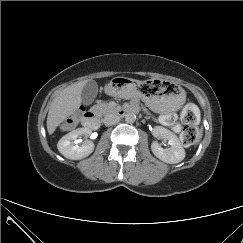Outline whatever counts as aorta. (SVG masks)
I'll list each match as a JSON object with an SVG mask.
<instances>
[{
    "instance_id": "aorta-1",
    "label": "aorta",
    "mask_w": 243,
    "mask_h": 243,
    "mask_svg": "<svg viewBox=\"0 0 243 243\" xmlns=\"http://www.w3.org/2000/svg\"><path fill=\"white\" fill-rule=\"evenodd\" d=\"M136 120V115L133 112H129L125 115V121L127 123H134Z\"/></svg>"
}]
</instances>
